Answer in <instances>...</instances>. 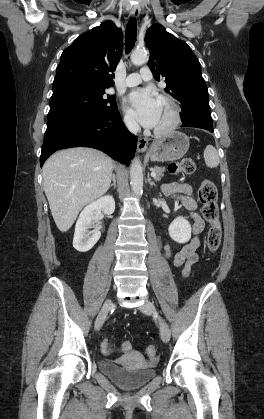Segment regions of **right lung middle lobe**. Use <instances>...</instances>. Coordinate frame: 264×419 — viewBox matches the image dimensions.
Segmentation results:
<instances>
[{
    "mask_svg": "<svg viewBox=\"0 0 264 419\" xmlns=\"http://www.w3.org/2000/svg\"><path fill=\"white\" fill-rule=\"evenodd\" d=\"M116 111V98L106 95V89L69 86L53 93L47 124L67 113L107 114Z\"/></svg>",
    "mask_w": 264,
    "mask_h": 419,
    "instance_id": "dd1d6c3e",
    "label": "right lung middle lobe"
}]
</instances>
